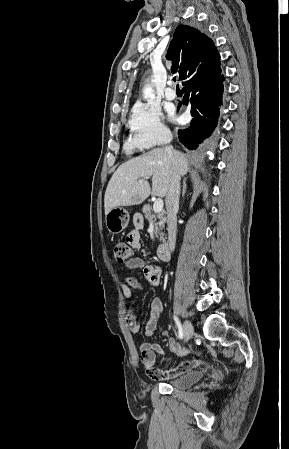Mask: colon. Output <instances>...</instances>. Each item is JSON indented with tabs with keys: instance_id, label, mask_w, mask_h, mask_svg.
I'll use <instances>...</instances> for the list:
<instances>
[{
	"instance_id": "obj_1",
	"label": "colon",
	"mask_w": 289,
	"mask_h": 449,
	"mask_svg": "<svg viewBox=\"0 0 289 449\" xmlns=\"http://www.w3.org/2000/svg\"><path fill=\"white\" fill-rule=\"evenodd\" d=\"M114 258L121 264H126L133 258V251L127 242L119 241L113 246Z\"/></svg>"
}]
</instances>
